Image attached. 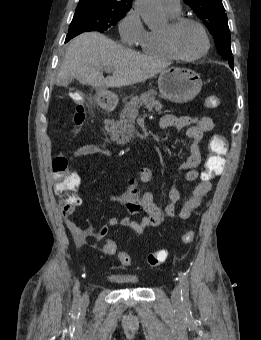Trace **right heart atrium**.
Returning <instances> with one entry per match:
<instances>
[{"label": "right heart atrium", "instance_id": "right-heart-atrium-1", "mask_svg": "<svg viewBox=\"0 0 261 340\" xmlns=\"http://www.w3.org/2000/svg\"><path fill=\"white\" fill-rule=\"evenodd\" d=\"M119 33L124 43L129 45L138 44L146 33L139 11L131 8L119 21Z\"/></svg>", "mask_w": 261, "mask_h": 340}]
</instances>
